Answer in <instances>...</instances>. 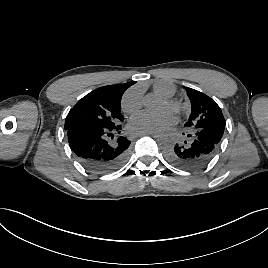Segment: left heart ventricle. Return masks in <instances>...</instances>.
<instances>
[{
	"label": "left heart ventricle",
	"mask_w": 268,
	"mask_h": 268,
	"mask_svg": "<svg viewBox=\"0 0 268 268\" xmlns=\"http://www.w3.org/2000/svg\"><path fill=\"white\" fill-rule=\"evenodd\" d=\"M166 108H168V107H167L166 103H164L163 104V109H166Z\"/></svg>",
	"instance_id": "left-heart-ventricle-1"
}]
</instances>
